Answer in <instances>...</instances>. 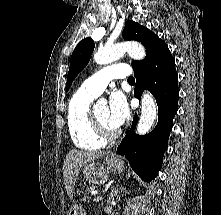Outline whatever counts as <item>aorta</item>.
<instances>
[{
	"label": "aorta",
	"mask_w": 221,
	"mask_h": 215,
	"mask_svg": "<svg viewBox=\"0 0 221 215\" xmlns=\"http://www.w3.org/2000/svg\"><path fill=\"white\" fill-rule=\"evenodd\" d=\"M128 53L135 60H142L146 55L143 45L137 42L117 43L104 47L94 55L97 64L104 65L114 62ZM157 108L153 96L144 92L141 98V116L137 124L136 132L140 135L146 134L154 124Z\"/></svg>",
	"instance_id": "762f6f07"
}]
</instances>
